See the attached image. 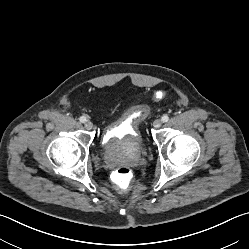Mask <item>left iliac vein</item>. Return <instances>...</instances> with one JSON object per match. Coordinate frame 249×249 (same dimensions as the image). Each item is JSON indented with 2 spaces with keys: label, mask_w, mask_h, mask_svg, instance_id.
Masks as SVG:
<instances>
[{
  "label": "left iliac vein",
  "mask_w": 249,
  "mask_h": 249,
  "mask_svg": "<svg viewBox=\"0 0 249 249\" xmlns=\"http://www.w3.org/2000/svg\"><path fill=\"white\" fill-rule=\"evenodd\" d=\"M162 125V121L160 119H156L154 122H153V127L154 128H160Z\"/></svg>",
  "instance_id": "4c4485c4"
}]
</instances>
